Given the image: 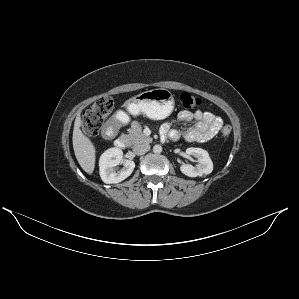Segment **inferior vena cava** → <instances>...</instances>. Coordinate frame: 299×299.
I'll list each match as a JSON object with an SVG mask.
<instances>
[{
  "label": "inferior vena cava",
  "instance_id": "602c4592",
  "mask_svg": "<svg viewBox=\"0 0 299 299\" xmlns=\"http://www.w3.org/2000/svg\"><path fill=\"white\" fill-rule=\"evenodd\" d=\"M150 149L149 144H138L134 147L133 151L136 155H143Z\"/></svg>",
  "mask_w": 299,
  "mask_h": 299
}]
</instances>
